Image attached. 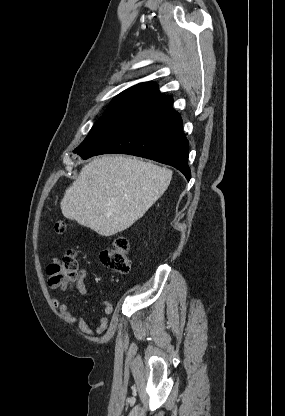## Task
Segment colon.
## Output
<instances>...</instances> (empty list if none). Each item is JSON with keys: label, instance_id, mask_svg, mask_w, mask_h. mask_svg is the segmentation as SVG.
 Wrapping results in <instances>:
<instances>
[{"label": "colon", "instance_id": "colon-1", "mask_svg": "<svg viewBox=\"0 0 285 416\" xmlns=\"http://www.w3.org/2000/svg\"><path fill=\"white\" fill-rule=\"evenodd\" d=\"M67 228L64 222H57L54 231L63 233ZM130 246L125 238H117L113 244L100 252L101 262L108 268L126 274L130 270ZM49 283L53 287L67 288L79 281L77 253L68 250L60 259L54 260L47 268Z\"/></svg>", "mask_w": 285, "mask_h": 416}]
</instances>
